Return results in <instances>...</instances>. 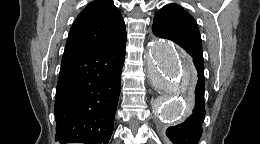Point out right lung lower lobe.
I'll list each match as a JSON object with an SVG mask.
<instances>
[{
	"label": "right lung lower lobe",
	"instance_id": "obj_1",
	"mask_svg": "<svg viewBox=\"0 0 260 144\" xmlns=\"http://www.w3.org/2000/svg\"><path fill=\"white\" fill-rule=\"evenodd\" d=\"M126 40L63 57L54 113L55 140L108 144L113 132Z\"/></svg>",
	"mask_w": 260,
	"mask_h": 144
}]
</instances>
